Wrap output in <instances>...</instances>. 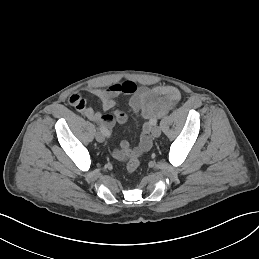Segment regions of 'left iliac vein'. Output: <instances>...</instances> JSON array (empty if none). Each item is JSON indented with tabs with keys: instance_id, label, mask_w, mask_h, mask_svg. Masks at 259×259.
<instances>
[{
	"instance_id": "left-iliac-vein-1",
	"label": "left iliac vein",
	"mask_w": 259,
	"mask_h": 259,
	"mask_svg": "<svg viewBox=\"0 0 259 259\" xmlns=\"http://www.w3.org/2000/svg\"><path fill=\"white\" fill-rule=\"evenodd\" d=\"M152 135L154 137H159L161 135V129L160 127L158 126H155L153 129H152Z\"/></svg>"
}]
</instances>
